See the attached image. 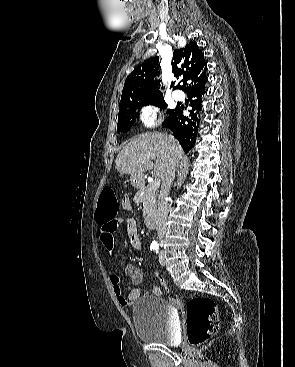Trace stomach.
<instances>
[{"mask_svg":"<svg viewBox=\"0 0 295 367\" xmlns=\"http://www.w3.org/2000/svg\"><path fill=\"white\" fill-rule=\"evenodd\" d=\"M131 184L136 188H141L144 185V180L142 176L132 175L130 177Z\"/></svg>","mask_w":295,"mask_h":367,"instance_id":"stomach-1","label":"stomach"}]
</instances>
